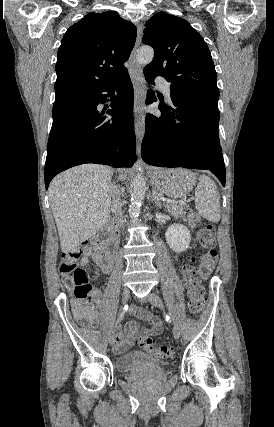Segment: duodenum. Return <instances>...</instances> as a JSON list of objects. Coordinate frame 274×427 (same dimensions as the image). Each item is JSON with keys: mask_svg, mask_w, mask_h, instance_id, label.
<instances>
[{"mask_svg": "<svg viewBox=\"0 0 274 427\" xmlns=\"http://www.w3.org/2000/svg\"><path fill=\"white\" fill-rule=\"evenodd\" d=\"M105 231L113 238L115 234V224L113 220L108 221L105 224Z\"/></svg>", "mask_w": 274, "mask_h": 427, "instance_id": "1", "label": "duodenum"}]
</instances>
